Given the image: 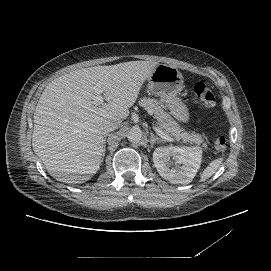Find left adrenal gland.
<instances>
[{"label": "left adrenal gland", "mask_w": 271, "mask_h": 271, "mask_svg": "<svg viewBox=\"0 0 271 271\" xmlns=\"http://www.w3.org/2000/svg\"><path fill=\"white\" fill-rule=\"evenodd\" d=\"M151 134V138H150V144H151V147H153V145L156 143V142H163L162 139H159L158 137H156L152 132L150 133Z\"/></svg>", "instance_id": "left-adrenal-gland-1"}]
</instances>
